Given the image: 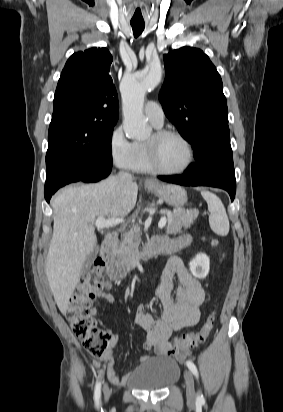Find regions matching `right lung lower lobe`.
<instances>
[{"label": "right lung lower lobe", "mask_w": 283, "mask_h": 412, "mask_svg": "<svg viewBox=\"0 0 283 412\" xmlns=\"http://www.w3.org/2000/svg\"><path fill=\"white\" fill-rule=\"evenodd\" d=\"M112 162L90 161L81 164L62 163L47 169L44 196L47 202L51 196L66 184L83 181L97 182L108 176Z\"/></svg>", "instance_id": "right-lung-lower-lobe-1"}]
</instances>
